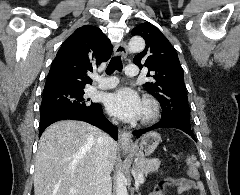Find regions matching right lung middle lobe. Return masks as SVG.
<instances>
[{
    "label": "right lung middle lobe",
    "instance_id": "right-lung-middle-lobe-1",
    "mask_svg": "<svg viewBox=\"0 0 240 195\" xmlns=\"http://www.w3.org/2000/svg\"><path fill=\"white\" fill-rule=\"evenodd\" d=\"M89 101L90 99L84 98L83 88L64 90L43 95L41 114L55 110L101 108L99 103Z\"/></svg>",
    "mask_w": 240,
    "mask_h": 195
}]
</instances>
